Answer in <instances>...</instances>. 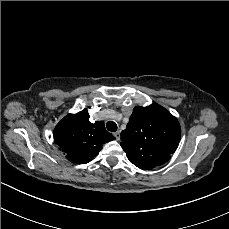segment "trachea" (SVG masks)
<instances>
[{
    "instance_id": "trachea-1",
    "label": "trachea",
    "mask_w": 229,
    "mask_h": 229,
    "mask_svg": "<svg viewBox=\"0 0 229 229\" xmlns=\"http://www.w3.org/2000/svg\"><path fill=\"white\" fill-rule=\"evenodd\" d=\"M106 127H107V129H108L109 131H111V132H115V131H117V129H118L117 124H116L115 122H113V121H108V122L106 123Z\"/></svg>"
}]
</instances>
